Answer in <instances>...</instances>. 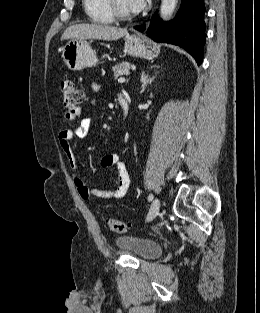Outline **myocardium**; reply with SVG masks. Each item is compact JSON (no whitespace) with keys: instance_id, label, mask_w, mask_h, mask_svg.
Wrapping results in <instances>:
<instances>
[{"instance_id":"obj_1","label":"myocardium","mask_w":260,"mask_h":313,"mask_svg":"<svg viewBox=\"0 0 260 313\" xmlns=\"http://www.w3.org/2000/svg\"><path fill=\"white\" fill-rule=\"evenodd\" d=\"M107 5H108L109 11H110V13L114 19L125 21V20H130L134 17L133 13L127 14V13L122 12L118 8L116 0H107Z\"/></svg>"}]
</instances>
